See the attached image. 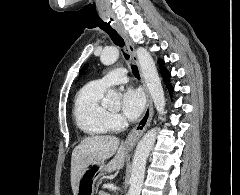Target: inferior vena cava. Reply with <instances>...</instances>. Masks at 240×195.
Wrapping results in <instances>:
<instances>
[{
	"label": "inferior vena cava",
	"mask_w": 240,
	"mask_h": 195,
	"mask_svg": "<svg viewBox=\"0 0 240 195\" xmlns=\"http://www.w3.org/2000/svg\"><path fill=\"white\" fill-rule=\"evenodd\" d=\"M125 125H126V127H128V123H127V121H125Z\"/></svg>",
	"instance_id": "obj_1"
}]
</instances>
